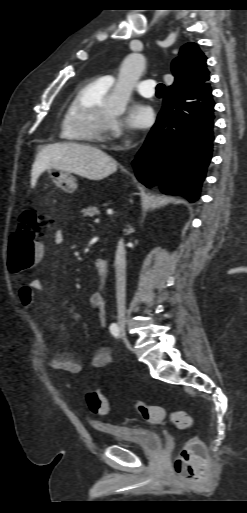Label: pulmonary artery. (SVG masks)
I'll return each mask as SVG.
<instances>
[{"label": "pulmonary artery", "instance_id": "e3ab8cb5", "mask_svg": "<svg viewBox=\"0 0 247 513\" xmlns=\"http://www.w3.org/2000/svg\"><path fill=\"white\" fill-rule=\"evenodd\" d=\"M104 82L109 85H112L114 78L112 75H106L101 78ZM156 86V82L154 80H142L136 85V90L139 94L144 97H152L154 95V87Z\"/></svg>", "mask_w": 247, "mask_h": 513}]
</instances>
